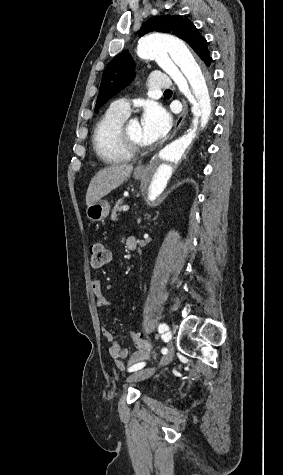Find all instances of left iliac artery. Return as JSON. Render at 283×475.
Segmentation results:
<instances>
[{
  "instance_id": "left-iliac-artery-1",
  "label": "left iliac artery",
  "mask_w": 283,
  "mask_h": 475,
  "mask_svg": "<svg viewBox=\"0 0 283 475\" xmlns=\"http://www.w3.org/2000/svg\"><path fill=\"white\" fill-rule=\"evenodd\" d=\"M168 329L169 328L166 324H160L159 327H158L159 333H163V332L167 331ZM164 338H165V340H167L166 337H164ZM144 366H145L144 362L135 364V365H133L132 367L129 368V372L137 371L139 369H142Z\"/></svg>"
}]
</instances>
